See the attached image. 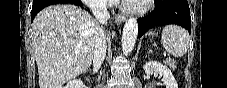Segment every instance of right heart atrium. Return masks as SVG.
I'll return each instance as SVG.
<instances>
[{"label": "right heart atrium", "instance_id": "1", "mask_svg": "<svg viewBox=\"0 0 227 88\" xmlns=\"http://www.w3.org/2000/svg\"><path fill=\"white\" fill-rule=\"evenodd\" d=\"M85 5L93 10H102L108 5L107 0H84Z\"/></svg>", "mask_w": 227, "mask_h": 88}]
</instances>
